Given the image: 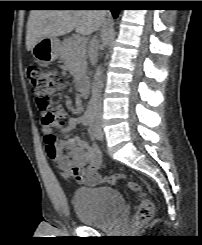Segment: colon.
Instances as JSON below:
<instances>
[{"label":"colon","mask_w":202,"mask_h":245,"mask_svg":"<svg viewBox=\"0 0 202 245\" xmlns=\"http://www.w3.org/2000/svg\"><path fill=\"white\" fill-rule=\"evenodd\" d=\"M27 78L32 86V93L35 98L41 121L46 124L62 126L63 120L58 119L51 106L50 95L63 87L62 73L58 70H47L41 65L31 64L27 69ZM57 154V149H51V156ZM108 182H123L132 189L140 198V203L134 213L133 225L135 228L149 222L154 216V205L142 188L134 181L127 180L122 175H111L106 178Z\"/></svg>","instance_id":"5ec220e1"}]
</instances>
